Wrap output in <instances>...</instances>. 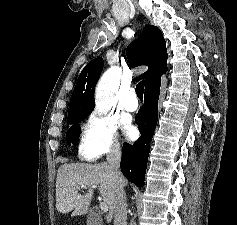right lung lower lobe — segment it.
I'll use <instances>...</instances> for the list:
<instances>
[{
  "label": "right lung lower lobe",
  "mask_w": 237,
  "mask_h": 225,
  "mask_svg": "<svg viewBox=\"0 0 237 225\" xmlns=\"http://www.w3.org/2000/svg\"><path fill=\"white\" fill-rule=\"evenodd\" d=\"M160 83L145 89L144 104L136 115L141 136L134 144H123L122 173L139 187L144 185L149 146L158 120Z\"/></svg>",
  "instance_id": "98d812e1"
}]
</instances>
